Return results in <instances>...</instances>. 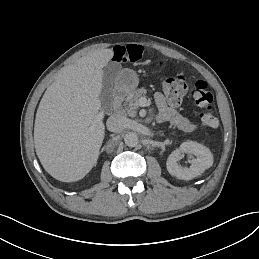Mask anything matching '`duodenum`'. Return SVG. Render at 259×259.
<instances>
[{"label": "duodenum", "instance_id": "410a0bca", "mask_svg": "<svg viewBox=\"0 0 259 259\" xmlns=\"http://www.w3.org/2000/svg\"><path fill=\"white\" fill-rule=\"evenodd\" d=\"M126 95V90L123 87H118L113 92V99L111 108L113 111H117Z\"/></svg>", "mask_w": 259, "mask_h": 259}]
</instances>
